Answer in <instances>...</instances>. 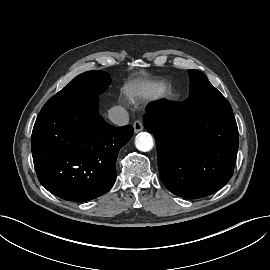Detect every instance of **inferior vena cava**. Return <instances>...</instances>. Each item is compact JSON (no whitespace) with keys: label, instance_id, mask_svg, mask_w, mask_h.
I'll return each instance as SVG.
<instances>
[{"label":"inferior vena cava","instance_id":"602c4592","mask_svg":"<svg viewBox=\"0 0 270 270\" xmlns=\"http://www.w3.org/2000/svg\"><path fill=\"white\" fill-rule=\"evenodd\" d=\"M108 117L111 122L118 126L127 125L129 122L128 112L120 106L113 107L109 110Z\"/></svg>","mask_w":270,"mask_h":270}]
</instances>
